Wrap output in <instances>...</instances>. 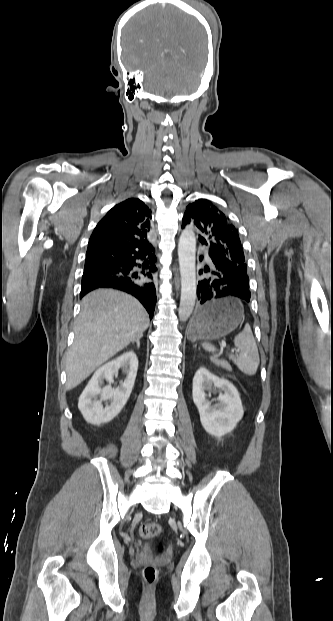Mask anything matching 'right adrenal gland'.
<instances>
[{"label":"right adrenal gland","instance_id":"1","mask_svg":"<svg viewBox=\"0 0 333 621\" xmlns=\"http://www.w3.org/2000/svg\"><path fill=\"white\" fill-rule=\"evenodd\" d=\"M140 338L141 337H138L136 340L132 341V344H134L136 342L138 348H140Z\"/></svg>","mask_w":333,"mask_h":621}]
</instances>
